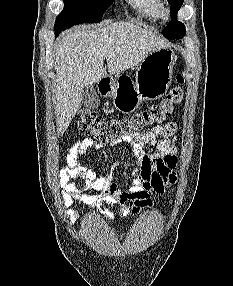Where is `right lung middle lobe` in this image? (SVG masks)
Masks as SVG:
<instances>
[{
    "label": "right lung middle lobe",
    "instance_id": "right-lung-middle-lobe-1",
    "mask_svg": "<svg viewBox=\"0 0 233 286\" xmlns=\"http://www.w3.org/2000/svg\"><path fill=\"white\" fill-rule=\"evenodd\" d=\"M114 0H63L65 7L57 16L54 28L72 27L81 23H97Z\"/></svg>",
    "mask_w": 233,
    "mask_h": 286
}]
</instances>
